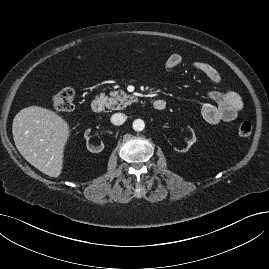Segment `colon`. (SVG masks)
<instances>
[{
    "label": "colon",
    "instance_id": "obj_1",
    "mask_svg": "<svg viewBox=\"0 0 269 269\" xmlns=\"http://www.w3.org/2000/svg\"><path fill=\"white\" fill-rule=\"evenodd\" d=\"M53 106L57 113L65 114L74 110L75 107V91L70 86L61 87L53 96ZM253 130L249 121H243L238 126V134L242 138H247Z\"/></svg>",
    "mask_w": 269,
    "mask_h": 269
}]
</instances>
